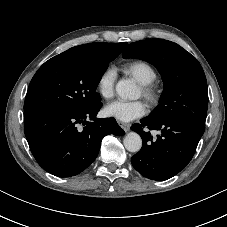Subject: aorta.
I'll use <instances>...</instances> for the list:
<instances>
[{
  "mask_svg": "<svg viewBox=\"0 0 227 227\" xmlns=\"http://www.w3.org/2000/svg\"><path fill=\"white\" fill-rule=\"evenodd\" d=\"M116 93L122 99H134L137 89L130 80H120L116 85ZM125 148L129 152H138L142 147V139L136 132H129L123 140Z\"/></svg>",
  "mask_w": 227,
  "mask_h": 227,
  "instance_id": "obj_1",
  "label": "aorta"
}]
</instances>
